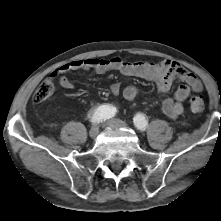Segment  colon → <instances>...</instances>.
Masks as SVG:
<instances>
[{
    "instance_id": "colon-1",
    "label": "colon",
    "mask_w": 221,
    "mask_h": 221,
    "mask_svg": "<svg viewBox=\"0 0 221 221\" xmlns=\"http://www.w3.org/2000/svg\"><path fill=\"white\" fill-rule=\"evenodd\" d=\"M55 90L54 79L47 78L43 80L37 89L34 91L32 100L35 103H41L50 98ZM190 108L195 113H200L204 110L203 99L199 96H193L190 99Z\"/></svg>"
}]
</instances>
